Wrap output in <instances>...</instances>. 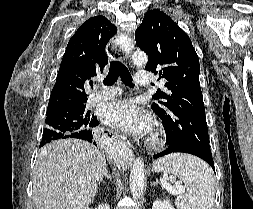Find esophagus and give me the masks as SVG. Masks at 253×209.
I'll return each instance as SVG.
<instances>
[{
	"label": "esophagus",
	"instance_id": "esophagus-1",
	"mask_svg": "<svg viewBox=\"0 0 253 209\" xmlns=\"http://www.w3.org/2000/svg\"><path fill=\"white\" fill-rule=\"evenodd\" d=\"M116 40L119 47L124 51V59L129 60L131 53L134 50V39L126 33H121L117 36ZM111 134L117 140H123L122 136L117 132L111 131Z\"/></svg>",
	"mask_w": 253,
	"mask_h": 209
}]
</instances>
